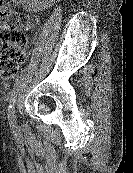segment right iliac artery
Instances as JSON below:
<instances>
[{
  "mask_svg": "<svg viewBox=\"0 0 133 173\" xmlns=\"http://www.w3.org/2000/svg\"><path fill=\"white\" fill-rule=\"evenodd\" d=\"M23 79H24L23 75H19L16 78L14 87H13L12 92H11L10 103H9V106H8V118H9L10 124L12 126H13V123H12V109H13V105H14V100H15L16 94H17V92L20 88V85H21Z\"/></svg>",
  "mask_w": 133,
  "mask_h": 173,
  "instance_id": "right-iliac-artery-1",
  "label": "right iliac artery"
}]
</instances>
